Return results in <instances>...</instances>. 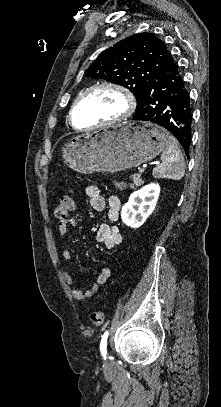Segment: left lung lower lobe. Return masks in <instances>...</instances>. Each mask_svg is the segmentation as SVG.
Wrapping results in <instances>:
<instances>
[{
    "label": "left lung lower lobe",
    "mask_w": 221,
    "mask_h": 407,
    "mask_svg": "<svg viewBox=\"0 0 221 407\" xmlns=\"http://www.w3.org/2000/svg\"><path fill=\"white\" fill-rule=\"evenodd\" d=\"M133 120L156 123L170 131L188 156L192 134L189 91L177 62L169 65L143 90Z\"/></svg>",
    "instance_id": "1"
}]
</instances>
